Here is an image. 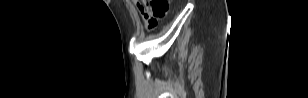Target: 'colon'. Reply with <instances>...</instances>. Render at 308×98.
Segmentation results:
<instances>
[{"label": "colon", "mask_w": 308, "mask_h": 98, "mask_svg": "<svg viewBox=\"0 0 308 98\" xmlns=\"http://www.w3.org/2000/svg\"><path fill=\"white\" fill-rule=\"evenodd\" d=\"M140 7V12L146 19L149 29H153L158 20L164 18L169 9L168 0H135Z\"/></svg>", "instance_id": "5ec220e1"}]
</instances>
